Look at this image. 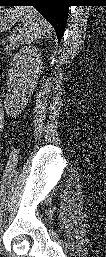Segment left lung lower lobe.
<instances>
[{
	"label": "left lung lower lobe",
	"mask_w": 106,
	"mask_h": 257,
	"mask_svg": "<svg viewBox=\"0 0 106 257\" xmlns=\"http://www.w3.org/2000/svg\"><path fill=\"white\" fill-rule=\"evenodd\" d=\"M1 6H33L54 27L58 42L64 34L70 0H0Z\"/></svg>",
	"instance_id": "0a47b994"
}]
</instances>
